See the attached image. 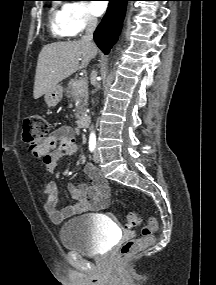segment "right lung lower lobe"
<instances>
[{"label": "right lung lower lobe", "mask_w": 216, "mask_h": 285, "mask_svg": "<svg viewBox=\"0 0 216 285\" xmlns=\"http://www.w3.org/2000/svg\"><path fill=\"white\" fill-rule=\"evenodd\" d=\"M109 1L107 12L94 33V40L97 46L105 54L109 53L111 47L117 41L125 16L126 4L132 0Z\"/></svg>", "instance_id": "1"}]
</instances>
